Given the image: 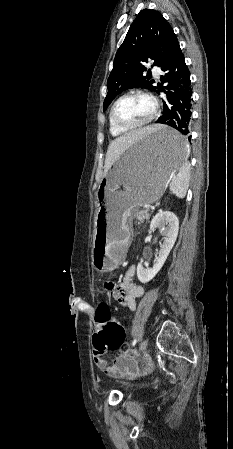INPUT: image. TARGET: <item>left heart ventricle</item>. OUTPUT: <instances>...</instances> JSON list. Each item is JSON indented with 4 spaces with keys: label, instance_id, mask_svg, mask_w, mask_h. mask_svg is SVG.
<instances>
[{
    "label": "left heart ventricle",
    "instance_id": "1",
    "mask_svg": "<svg viewBox=\"0 0 233 449\" xmlns=\"http://www.w3.org/2000/svg\"><path fill=\"white\" fill-rule=\"evenodd\" d=\"M152 104L143 96H130L122 99L115 108V119L124 125L137 124L149 117Z\"/></svg>",
    "mask_w": 233,
    "mask_h": 449
}]
</instances>
